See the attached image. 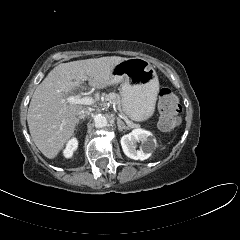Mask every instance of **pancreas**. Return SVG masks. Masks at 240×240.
I'll return each mask as SVG.
<instances>
[{
  "label": "pancreas",
  "instance_id": "obj_1",
  "mask_svg": "<svg viewBox=\"0 0 240 240\" xmlns=\"http://www.w3.org/2000/svg\"><path fill=\"white\" fill-rule=\"evenodd\" d=\"M105 100L106 101H111L112 103L117 105V107L119 109H121V97H120L119 94H117L115 92H111V93L105 95ZM131 126H136V124L131 122Z\"/></svg>",
  "mask_w": 240,
  "mask_h": 240
}]
</instances>
